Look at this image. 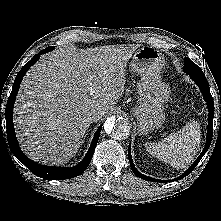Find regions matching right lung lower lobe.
I'll return each instance as SVG.
<instances>
[{
	"instance_id": "right-lung-lower-lobe-1",
	"label": "right lung lower lobe",
	"mask_w": 221,
	"mask_h": 221,
	"mask_svg": "<svg viewBox=\"0 0 221 221\" xmlns=\"http://www.w3.org/2000/svg\"><path fill=\"white\" fill-rule=\"evenodd\" d=\"M51 51L50 49L46 48L36 54L29 62H27L18 75L15 78L11 94L8 98L7 105H6V111H5V117H6V127H7V140L9 147L11 149V152L22 162L34 175L48 179V180H64V179H69L76 177L80 174H82L86 168L88 167L93 154L95 147L97 145L100 132L102 129V125L98 128L96 131L94 138L92 140L91 146L84 157V159L76 166L66 168V167H50V166H44L40 165L32 160H30L28 157H26L21 149L19 148V145L17 143L16 137H15V132H14V125H13V120H12V112H13V105L15 102V98L17 95V92L20 87V83L27 72V70L39 59L40 55Z\"/></svg>"
}]
</instances>
